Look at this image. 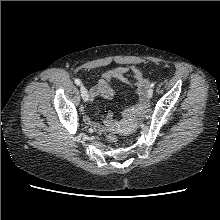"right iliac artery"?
<instances>
[{
    "mask_svg": "<svg viewBox=\"0 0 220 220\" xmlns=\"http://www.w3.org/2000/svg\"><path fill=\"white\" fill-rule=\"evenodd\" d=\"M74 81H75V83H76L77 85H80V84H81L80 80L77 79V78H76Z\"/></svg>",
    "mask_w": 220,
    "mask_h": 220,
    "instance_id": "1",
    "label": "right iliac artery"
}]
</instances>
